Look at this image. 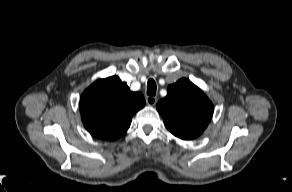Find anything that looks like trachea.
I'll use <instances>...</instances> for the list:
<instances>
[{"mask_svg":"<svg viewBox=\"0 0 292 192\" xmlns=\"http://www.w3.org/2000/svg\"><path fill=\"white\" fill-rule=\"evenodd\" d=\"M156 83L153 79L148 80L147 82V94L149 96H155L156 94Z\"/></svg>","mask_w":292,"mask_h":192,"instance_id":"1","label":"trachea"}]
</instances>
